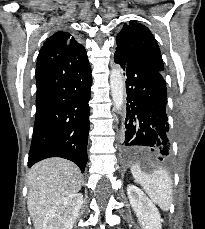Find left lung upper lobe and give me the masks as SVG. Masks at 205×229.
Masks as SVG:
<instances>
[{
  "label": "left lung upper lobe",
  "mask_w": 205,
  "mask_h": 229,
  "mask_svg": "<svg viewBox=\"0 0 205 229\" xmlns=\"http://www.w3.org/2000/svg\"><path fill=\"white\" fill-rule=\"evenodd\" d=\"M117 48L162 72L161 52L150 30L136 21L125 24L116 38Z\"/></svg>",
  "instance_id": "left-lung-upper-lobe-1"
}]
</instances>
